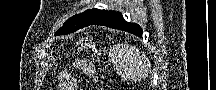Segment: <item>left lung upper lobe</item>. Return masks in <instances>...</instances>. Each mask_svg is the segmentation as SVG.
Instances as JSON below:
<instances>
[{"label": "left lung upper lobe", "instance_id": "obj_1", "mask_svg": "<svg viewBox=\"0 0 216 90\" xmlns=\"http://www.w3.org/2000/svg\"><path fill=\"white\" fill-rule=\"evenodd\" d=\"M113 11H105L100 9L86 10L69 18L55 35H65L77 31L80 28L93 25L95 22L105 18Z\"/></svg>", "mask_w": 216, "mask_h": 90}]
</instances>
